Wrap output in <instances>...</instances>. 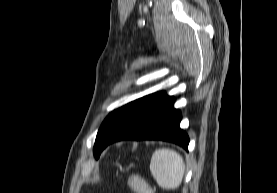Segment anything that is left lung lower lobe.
Masks as SVG:
<instances>
[{"instance_id":"1","label":"left lung lower lobe","mask_w":277,"mask_h":193,"mask_svg":"<svg viewBox=\"0 0 277 193\" xmlns=\"http://www.w3.org/2000/svg\"><path fill=\"white\" fill-rule=\"evenodd\" d=\"M174 97L157 92L130 104L114 119L100 141L103 151L110 143L133 140H165L187 149L188 135L180 129L181 113L174 109Z\"/></svg>"}]
</instances>
